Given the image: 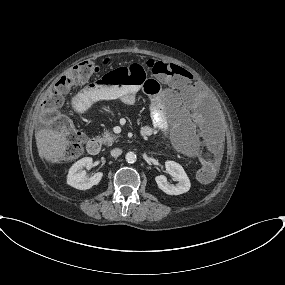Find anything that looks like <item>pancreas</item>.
Wrapping results in <instances>:
<instances>
[{"label": "pancreas", "instance_id": "1", "mask_svg": "<svg viewBox=\"0 0 285 285\" xmlns=\"http://www.w3.org/2000/svg\"><path fill=\"white\" fill-rule=\"evenodd\" d=\"M103 137L101 138L103 144L107 146H112L114 142H118L119 136L113 134L110 131H105L102 135Z\"/></svg>", "mask_w": 285, "mask_h": 285}]
</instances>
